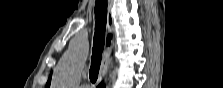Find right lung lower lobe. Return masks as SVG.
I'll use <instances>...</instances> for the list:
<instances>
[{"label": "right lung lower lobe", "mask_w": 223, "mask_h": 88, "mask_svg": "<svg viewBox=\"0 0 223 88\" xmlns=\"http://www.w3.org/2000/svg\"><path fill=\"white\" fill-rule=\"evenodd\" d=\"M105 86H104V84L103 83H101L100 85H99V88H104Z\"/></svg>", "instance_id": "98d812e1"}]
</instances>
